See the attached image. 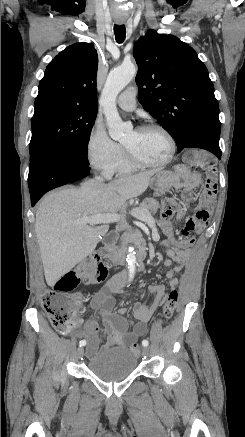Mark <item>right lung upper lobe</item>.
Here are the masks:
<instances>
[{
  "label": "right lung upper lobe",
  "mask_w": 245,
  "mask_h": 437,
  "mask_svg": "<svg viewBox=\"0 0 245 437\" xmlns=\"http://www.w3.org/2000/svg\"><path fill=\"white\" fill-rule=\"evenodd\" d=\"M97 67L98 55L93 44L67 47L46 67L35 106L59 103L97 110Z\"/></svg>",
  "instance_id": "1"
}]
</instances>
